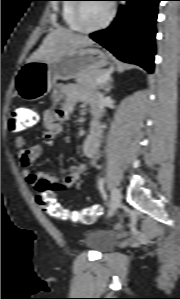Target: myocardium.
I'll use <instances>...</instances> for the list:
<instances>
[{
    "label": "myocardium",
    "instance_id": "1",
    "mask_svg": "<svg viewBox=\"0 0 180 299\" xmlns=\"http://www.w3.org/2000/svg\"><path fill=\"white\" fill-rule=\"evenodd\" d=\"M78 2L75 3L74 6V11H73V20L78 28V31H80L81 33H94V32H98L101 31L103 29H105L106 27H108L110 25V23L112 22L114 16H115V7L114 4L112 2H108V15L105 18V20L94 27H84L81 23V17H80V12H81V8L83 5V2H81L82 0H77ZM109 1V0H108Z\"/></svg>",
    "mask_w": 180,
    "mask_h": 299
}]
</instances>
